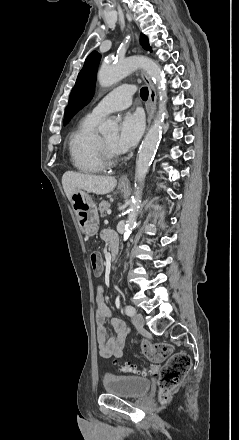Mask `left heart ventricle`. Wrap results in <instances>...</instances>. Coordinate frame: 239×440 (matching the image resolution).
<instances>
[{"label":"left heart ventricle","mask_w":239,"mask_h":440,"mask_svg":"<svg viewBox=\"0 0 239 440\" xmlns=\"http://www.w3.org/2000/svg\"><path fill=\"white\" fill-rule=\"evenodd\" d=\"M101 138L103 139L104 143L106 145H108L109 147L113 148L115 139H116V135L115 134H107V135H103L101 136Z\"/></svg>","instance_id":"obj_1"}]
</instances>
